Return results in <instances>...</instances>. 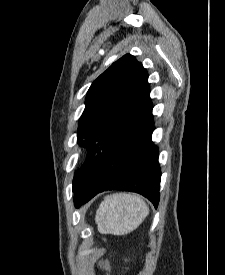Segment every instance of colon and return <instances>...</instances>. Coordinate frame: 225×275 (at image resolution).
I'll return each instance as SVG.
<instances>
[{"mask_svg": "<svg viewBox=\"0 0 225 275\" xmlns=\"http://www.w3.org/2000/svg\"><path fill=\"white\" fill-rule=\"evenodd\" d=\"M100 269L105 275H108L110 272V266H109L108 262L102 261L100 264Z\"/></svg>", "mask_w": 225, "mask_h": 275, "instance_id": "colon-1", "label": "colon"}]
</instances>
